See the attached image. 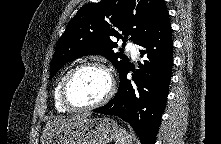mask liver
<instances>
[{
  "label": "liver",
  "mask_w": 221,
  "mask_h": 144,
  "mask_svg": "<svg viewBox=\"0 0 221 144\" xmlns=\"http://www.w3.org/2000/svg\"><path fill=\"white\" fill-rule=\"evenodd\" d=\"M86 115H78L71 118H61V119H54L53 121H48L46 123V127L43 130V134L41 137V143L44 144L45 141L52 137L57 131L62 130L63 128L69 127L71 125L80 123L84 119H86Z\"/></svg>",
  "instance_id": "6515ba94"
}]
</instances>
